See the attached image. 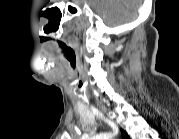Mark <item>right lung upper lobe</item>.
I'll return each instance as SVG.
<instances>
[{
	"label": "right lung upper lobe",
	"instance_id": "obj_1",
	"mask_svg": "<svg viewBox=\"0 0 179 139\" xmlns=\"http://www.w3.org/2000/svg\"><path fill=\"white\" fill-rule=\"evenodd\" d=\"M122 137H123L124 139H128V138H129L128 135H127V133H126L124 130H122Z\"/></svg>",
	"mask_w": 179,
	"mask_h": 139
}]
</instances>
